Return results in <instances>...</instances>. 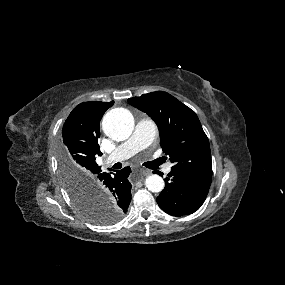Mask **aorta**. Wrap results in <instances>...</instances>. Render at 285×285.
<instances>
[{
	"instance_id": "1",
	"label": "aorta",
	"mask_w": 285,
	"mask_h": 285,
	"mask_svg": "<svg viewBox=\"0 0 285 285\" xmlns=\"http://www.w3.org/2000/svg\"><path fill=\"white\" fill-rule=\"evenodd\" d=\"M102 128L111 139L123 141L132 134L134 119L127 109L115 108L104 116ZM145 185L149 191L158 193L164 189V180L159 175L152 174L146 178Z\"/></svg>"
}]
</instances>
